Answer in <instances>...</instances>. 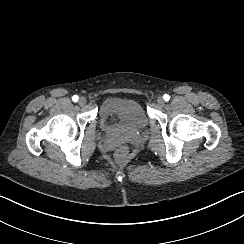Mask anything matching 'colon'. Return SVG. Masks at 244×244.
<instances>
[{
    "mask_svg": "<svg viewBox=\"0 0 244 244\" xmlns=\"http://www.w3.org/2000/svg\"><path fill=\"white\" fill-rule=\"evenodd\" d=\"M128 160V151L125 145L120 144L116 148L115 161L118 164H124Z\"/></svg>",
    "mask_w": 244,
    "mask_h": 244,
    "instance_id": "obj_1",
    "label": "colon"
}]
</instances>
